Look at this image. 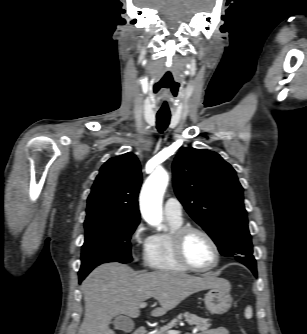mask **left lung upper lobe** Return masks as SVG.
<instances>
[{
    "label": "left lung upper lobe",
    "mask_w": 307,
    "mask_h": 334,
    "mask_svg": "<svg viewBox=\"0 0 307 334\" xmlns=\"http://www.w3.org/2000/svg\"><path fill=\"white\" fill-rule=\"evenodd\" d=\"M173 184L180 202L220 253L256 267L243 188L232 166L216 152L185 148L173 162Z\"/></svg>",
    "instance_id": "left-lung-upper-lobe-1"
}]
</instances>
